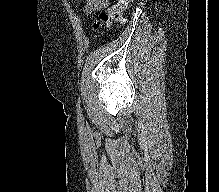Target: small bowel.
Masks as SVG:
<instances>
[{
  "instance_id": "obj_1",
  "label": "small bowel",
  "mask_w": 219,
  "mask_h": 192,
  "mask_svg": "<svg viewBox=\"0 0 219 192\" xmlns=\"http://www.w3.org/2000/svg\"><path fill=\"white\" fill-rule=\"evenodd\" d=\"M107 5V0H85L84 12L90 14L94 11L106 8Z\"/></svg>"
}]
</instances>
